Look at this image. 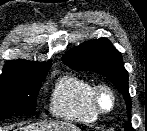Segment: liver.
I'll return each mask as SVG.
<instances>
[{
    "label": "liver",
    "mask_w": 147,
    "mask_h": 131,
    "mask_svg": "<svg viewBox=\"0 0 147 131\" xmlns=\"http://www.w3.org/2000/svg\"><path fill=\"white\" fill-rule=\"evenodd\" d=\"M18 131H80L74 124L67 122H40L29 124L17 129Z\"/></svg>",
    "instance_id": "1"
}]
</instances>
